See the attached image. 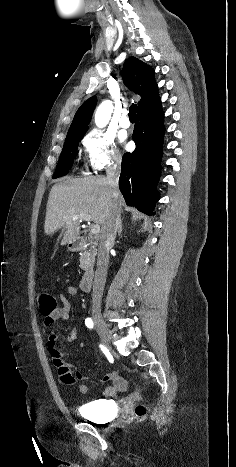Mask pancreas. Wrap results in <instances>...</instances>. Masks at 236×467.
Segmentation results:
<instances>
[{
	"instance_id": "obj_1",
	"label": "pancreas",
	"mask_w": 236,
	"mask_h": 467,
	"mask_svg": "<svg viewBox=\"0 0 236 467\" xmlns=\"http://www.w3.org/2000/svg\"><path fill=\"white\" fill-rule=\"evenodd\" d=\"M96 251L94 247H91L90 250H86L81 254L80 257V268L84 271H87L95 262Z\"/></svg>"
}]
</instances>
